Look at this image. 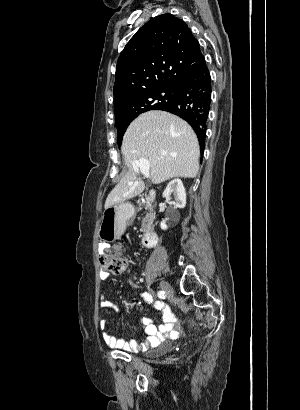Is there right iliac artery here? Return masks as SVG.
I'll list each match as a JSON object with an SVG mask.
<instances>
[{
	"label": "right iliac artery",
	"mask_w": 300,
	"mask_h": 410,
	"mask_svg": "<svg viewBox=\"0 0 300 410\" xmlns=\"http://www.w3.org/2000/svg\"><path fill=\"white\" fill-rule=\"evenodd\" d=\"M157 295H158V297L161 298V299H164L165 296H166L164 291H159Z\"/></svg>",
	"instance_id": "right-iliac-artery-1"
}]
</instances>
